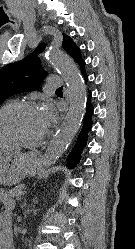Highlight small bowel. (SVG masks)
<instances>
[{
    "label": "small bowel",
    "instance_id": "c3829d8e",
    "mask_svg": "<svg viewBox=\"0 0 135 249\" xmlns=\"http://www.w3.org/2000/svg\"><path fill=\"white\" fill-rule=\"evenodd\" d=\"M8 218H9V210L6 209L3 212V219L0 220V240L5 236L3 227H4L5 222L8 220Z\"/></svg>",
    "mask_w": 135,
    "mask_h": 249
}]
</instances>
